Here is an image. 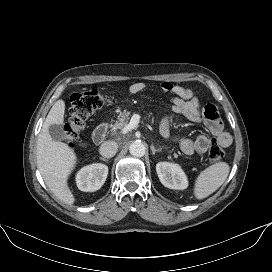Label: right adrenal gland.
<instances>
[{
	"label": "right adrenal gland",
	"instance_id": "1",
	"mask_svg": "<svg viewBox=\"0 0 272 272\" xmlns=\"http://www.w3.org/2000/svg\"><path fill=\"white\" fill-rule=\"evenodd\" d=\"M100 160L104 161V162H108V159L104 158V157H100Z\"/></svg>",
	"mask_w": 272,
	"mask_h": 272
}]
</instances>
